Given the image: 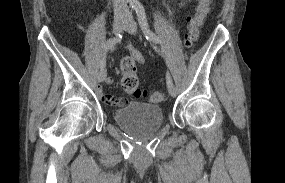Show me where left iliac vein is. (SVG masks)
I'll list each match as a JSON object with an SVG mask.
<instances>
[{
	"label": "left iliac vein",
	"instance_id": "4c4485c4",
	"mask_svg": "<svg viewBox=\"0 0 285 183\" xmlns=\"http://www.w3.org/2000/svg\"><path fill=\"white\" fill-rule=\"evenodd\" d=\"M124 30L131 33V34H136V32H137V25H136V23H135V21L131 15H129L126 18V22L124 24ZM167 86H168V90H169L170 95L172 97H175L177 94V89L171 80L167 82Z\"/></svg>",
	"mask_w": 285,
	"mask_h": 183
}]
</instances>
